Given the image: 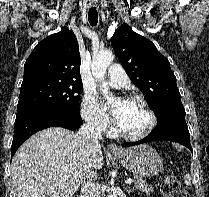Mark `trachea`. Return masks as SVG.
Listing matches in <instances>:
<instances>
[{
  "label": "trachea",
  "mask_w": 209,
  "mask_h": 197,
  "mask_svg": "<svg viewBox=\"0 0 209 197\" xmlns=\"http://www.w3.org/2000/svg\"><path fill=\"white\" fill-rule=\"evenodd\" d=\"M88 20L91 26H96L98 23V12L96 8L92 7L88 12Z\"/></svg>",
  "instance_id": "3493384b"
}]
</instances>
